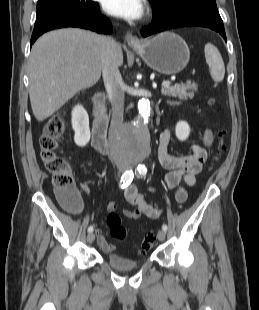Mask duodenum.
<instances>
[{"instance_id": "obj_1", "label": "duodenum", "mask_w": 259, "mask_h": 310, "mask_svg": "<svg viewBox=\"0 0 259 310\" xmlns=\"http://www.w3.org/2000/svg\"><path fill=\"white\" fill-rule=\"evenodd\" d=\"M105 95L98 94L94 98V121L92 129V145L97 152L107 153L106 136L108 117L104 106Z\"/></svg>"}]
</instances>
